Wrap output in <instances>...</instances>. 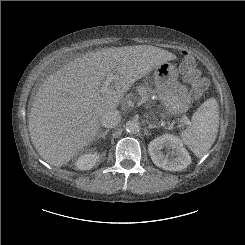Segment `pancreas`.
Returning a JSON list of instances; mask_svg holds the SVG:
<instances>
[{
    "label": "pancreas",
    "instance_id": "pancreas-1",
    "mask_svg": "<svg viewBox=\"0 0 245 245\" xmlns=\"http://www.w3.org/2000/svg\"><path fill=\"white\" fill-rule=\"evenodd\" d=\"M137 91L139 95H141L144 99H148L150 95L154 93V91L151 88L145 86H138Z\"/></svg>",
    "mask_w": 245,
    "mask_h": 245
}]
</instances>
